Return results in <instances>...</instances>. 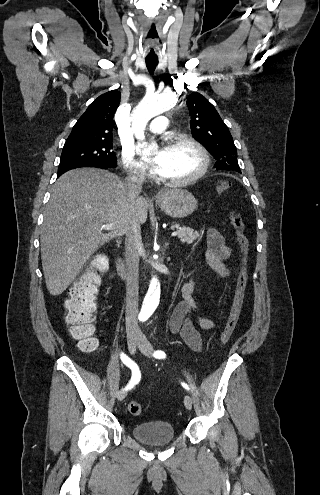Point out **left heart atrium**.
<instances>
[{
    "label": "left heart atrium",
    "instance_id": "39dd6f15",
    "mask_svg": "<svg viewBox=\"0 0 320 495\" xmlns=\"http://www.w3.org/2000/svg\"><path fill=\"white\" fill-rule=\"evenodd\" d=\"M166 166V154L165 151L159 152L155 159L151 163V170L156 173L163 175Z\"/></svg>",
    "mask_w": 320,
    "mask_h": 495
}]
</instances>
